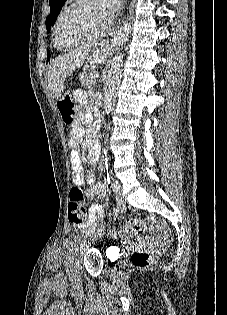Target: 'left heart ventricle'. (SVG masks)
<instances>
[{
  "label": "left heart ventricle",
  "instance_id": "obj_1",
  "mask_svg": "<svg viewBox=\"0 0 227 315\" xmlns=\"http://www.w3.org/2000/svg\"><path fill=\"white\" fill-rule=\"evenodd\" d=\"M106 25L96 0L79 6L61 23L59 39L63 44H74L95 35Z\"/></svg>",
  "mask_w": 227,
  "mask_h": 315
}]
</instances>
